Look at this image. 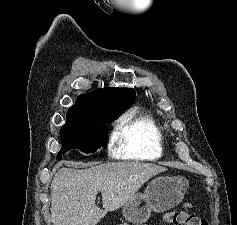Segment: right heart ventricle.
I'll use <instances>...</instances> for the list:
<instances>
[{"label":"right heart ventricle","instance_id":"1","mask_svg":"<svg viewBox=\"0 0 237 225\" xmlns=\"http://www.w3.org/2000/svg\"><path fill=\"white\" fill-rule=\"evenodd\" d=\"M113 143L115 156L121 159L156 160L165 152L163 132L144 115L122 118L115 127Z\"/></svg>","mask_w":237,"mask_h":225}]
</instances>
